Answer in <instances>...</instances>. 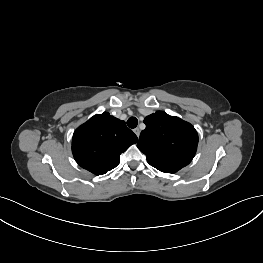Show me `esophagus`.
<instances>
[{"instance_id":"obj_1","label":"esophagus","mask_w":263,"mask_h":263,"mask_svg":"<svg viewBox=\"0 0 263 263\" xmlns=\"http://www.w3.org/2000/svg\"><path fill=\"white\" fill-rule=\"evenodd\" d=\"M133 131H134V133L136 134L137 137L140 136V129L139 128H135Z\"/></svg>"}]
</instances>
